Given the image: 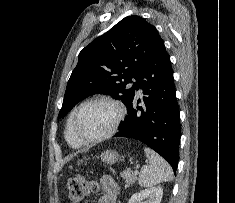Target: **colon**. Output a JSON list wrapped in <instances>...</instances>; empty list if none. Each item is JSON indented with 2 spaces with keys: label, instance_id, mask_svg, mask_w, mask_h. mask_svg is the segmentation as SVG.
<instances>
[{
  "label": "colon",
  "instance_id": "obj_1",
  "mask_svg": "<svg viewBox=\"0 0 235 203\" xmlns=\"http://www.w3.org/2000/svg\"><path fill=\"white\" fill-rule=\"evenodd\" d=\"M96 181L82 176L71 177L68 181V197L71 203H81L84 199L98 191Z\"/></svg>",
  "mask_w": 235,
  "mask_h": 203
}]
</instances>
